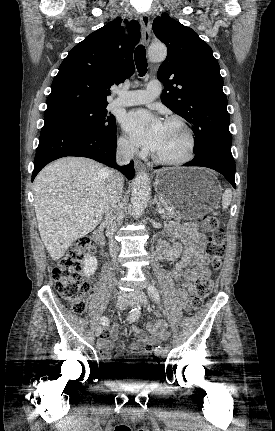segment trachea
<instances>
[{"instance_id":"1","label":"trachea","mask_w":275,"mask_h":431,"mask_svg":"<svg viewBox=\"0 0 275 431\" xmlns=\"http://www.w3.org/2000/svg\"><path fill=\"white\" fill-rule=\"evenodd\" d=\"M134 60L136 63L137 70L139 72V76H145V74L147 73V59L146 50L143 45H139L136 47L134 52Z\"/></svg>"}]
</instances>
